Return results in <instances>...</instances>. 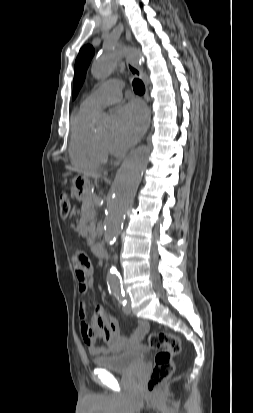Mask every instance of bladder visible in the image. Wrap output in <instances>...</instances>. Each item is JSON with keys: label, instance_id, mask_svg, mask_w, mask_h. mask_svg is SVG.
Instances as JSON below:
<instances>
[{"label": "bladder", "instance_id": "31cf9c89", "mask_svg": "<svg viewBox=\"0 0 253 413\" xmlns=\"http://www.w3.org/2000/svg\"><path fill=\"white\" fill-rule=\"evenodd\" d=\"M144 361L145 352L141 348L99 356L94 359L96 366L120 372L130 371L143 364Z\"/></svg>", "mask_w": 253, "mask_h": 413}]
</instances>
